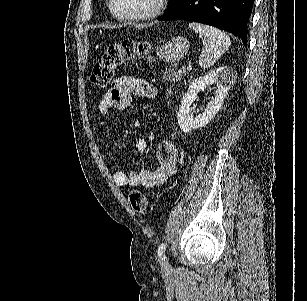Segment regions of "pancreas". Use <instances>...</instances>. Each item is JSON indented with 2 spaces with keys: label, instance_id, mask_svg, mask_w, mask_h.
<instances>
[{
  "label": "pancreas",
  "instance_id": "cf45deb5",
  "mask_svg": "<svg viewBox=\"0 0 307 301\" xmlns=\"http://www.w3.org/2000/svg\"><path fill=\"white\" fill-rule=\"evenodd\" d=\"M181 76H185V72H180V70H174V68H167L164 72V80H169V82H177L180 80Z\"/></svg>",
  "mask_w": 307,
  "mask_h": 301
}]
</instances>
